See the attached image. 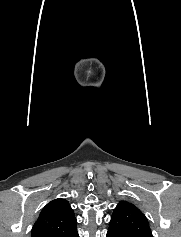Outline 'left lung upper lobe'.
Listing matches in <instances>:
<instances>
[{
    "mask_svg": "<svg viewBox=\"0 0 181 237\" xmlns=\"http://www.w3.org/2000/svg\"><path fill=\"white\" fill-rule=\"evenodd\" d=\"M108 232L120 237H153L146 216L127 201H120L114 209Z\"/></svg>",
    "mask_w": 181,
    "mask_h": 237,
    "instance_id": "left-lung-upper-lobe-1",
    "label": "left lung upper lobe"
}]
</instances>
